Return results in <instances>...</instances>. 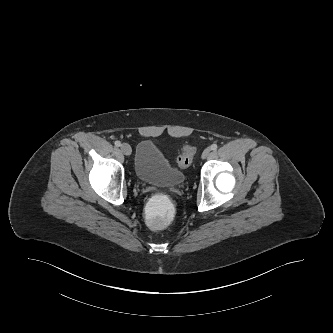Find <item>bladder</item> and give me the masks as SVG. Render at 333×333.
I'll use <instances>...</instances> for the list:
<instances>
[{"mask_svg": "<svg viewBox=\"0 0 333 333\" xmlns=\"http://www.w3.org/2000/svg\"><path fill=\"white\" fill-rule=\"evenodd\" d=\"M134 171L139 180L156 186L179 187L185 180L183 171L172 166L152 140H143L138 144Z\"/></svg>", "mask_w": 333, "mask_h": 333, "instance_id": "obj_1", "label": "bladder"}]
</instances>
